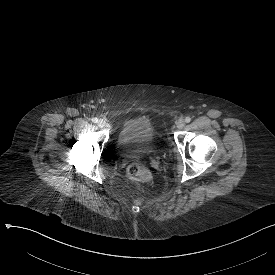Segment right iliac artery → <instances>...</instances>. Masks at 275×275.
Segmentation results:
<instances>
[{
  "label": "right iliac artery",
  "instance_id": "82829eb1",
  "mask_svg": "<svg viewBox=\"0 0 275 275\" xmlns=\"http://www.w3.org/2000/svg\"><path fill=\"white\" fill-rule=\"evenodd\" d=\"M92 122L94 123H97L98 122V119L95 117V118H92Z\"/></svg>",
  "mask_w": 275,
  "mask_h": 275
}]
</instances>
